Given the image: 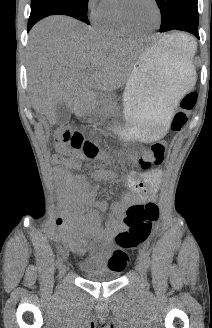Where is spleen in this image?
<instances>
[{
	"label": "spleen",
	"instance_id": "spleen-1",
	"mask_svg": "<svg viewBox=\"0 0 212 328\" xmlns=\"http://www.w3.org/2000/svg\"><path fill=\"white\" fill-rule=\"evenodd\" d=\"M162 41H167L177 47L183 48L186 53H190L192 56L195 54L197 48L195 39L186 34H172L162 39Z\"/></svg>",
	"mask_w": 212,
	"mask_h": 328
}]
</instances>
